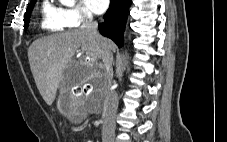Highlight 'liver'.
Returning a JSON list of instances; mask_svg holds the SVG:
<instances>
[{"label":"liver","instance_id":"1","mask_svg":"<svg viewBox=\"0 0 227 142\" xmlns=\"http://www.w3.org/2000/svg\"><path fill=\"white\" fill-rule=\"evenodd\" d=\"M105 47L111 51L115 44L108 38L101 41L85 33L82 29L54 34L35 40L28 49L30 69L36 86L47 105H52L57 89L65 78L74 54L80 48L86 54L83 62L85 71L73 82L84 83L93 78L96 73L98 59L101 58V49Z\"/></svg>","mask_w":227,"mask_h":142}]
</instances>
